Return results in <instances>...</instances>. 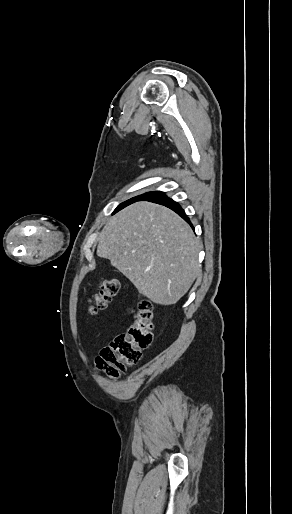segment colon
<instances>
[{
	"label": "colon",
	"mask_w": 292,
	"mask_h": 514,
	"mask_svg": "<svg viewBox=\"0 0 292 514\" xmlns=\"http://www.w3.org/2000/svg\"><path fill=\"white\" fill-rule=\"evenodd\" d=\"M119 290L117 279H104L99 292L89 300L92 313L106 309L117 297ZM153 338L152 305L148 300H141L133 307L127 331L118 335L96 356V367L107 377H119L128 367L140 361L143 351L151 346Z\"/></svg>",
	"instance_id": "1"
}]
</instances>
